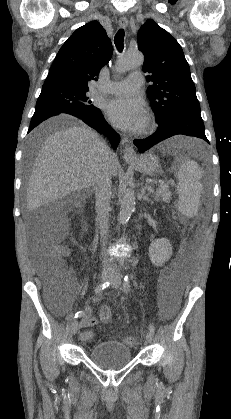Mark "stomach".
<instances>
[{"mask_svg":"<svg viewBox=\"0 0 231 419\" xmlns=\"http://www.w3.org/2000/svg\"><path fill=\"white\" fill-rule=\"evenodd\" d=\"M129 163L145 175L154 176L160 171L159 158L151 152L142 154Z\"/></svg>","mask_w":231,"mask_h":419,"instance_id":"0dacf381","label":"stomach"}]
</instances>
